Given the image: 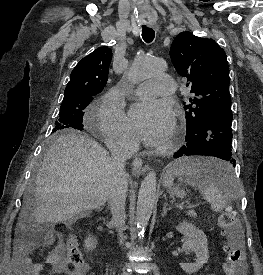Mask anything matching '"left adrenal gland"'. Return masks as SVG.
Instances as JSON below:
<instances>
[{
  "label": "left adrenal gland",
  "instance_id": "a2214340",
  "mask_svg": "<svg viewBox=\"0 0 263 275\" xmlns=\"http://www.w3.org/2000/svg\"><path fill=\"white\" fill-rule=\"evenodd\" d=\"M167 206H168V204L165 203L164 206H163L162 216H165L166 213H167V210H170V209H171V207L167 208Z\"/></svg>",
  "mask_w": 263,
  "mask_h": 275
}]
</instances>
